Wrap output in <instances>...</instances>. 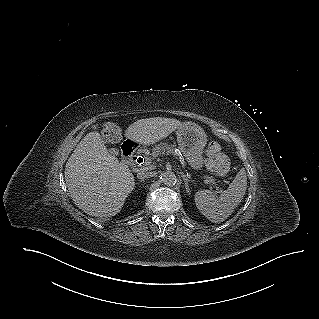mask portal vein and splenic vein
Returning a JSON list of instances; mask_svg holds the SVG:
<instances>
[{
    "label": "portal vein and splenic vein",
    "mask_w": 319,
    "mask_h": 319,
    "mask_svg": "<svg viewBox=\"0 0 319 319\" xmlns=\"http://www.w3.org/2000/svg\"><path fill=\"white\" fill-rule=\"evenodd\" d=\"M204 181H205V183H212V184L215 185V188H216L215 193H219L220 192L219 191V187L216 185L215 181L212 178L207 177V179H205Z\"/></svg>",
    "instance_id": "18ae733b"
}]
</instances>
